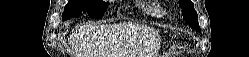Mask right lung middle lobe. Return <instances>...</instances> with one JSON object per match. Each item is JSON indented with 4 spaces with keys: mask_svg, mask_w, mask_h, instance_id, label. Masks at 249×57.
<instances>
[{
    "mask_svg": "<svg viewBox=\"0 0 249 57\" xmlns=\"http://www.w3.org/2000/svg\"><path fill=\"white\" fill-rule=\"evenodd\" d=\"M107 4L96 0H69L64 8L63 19L77 17L82 13L88 14L91 18L100 19L104 16Z\"/></svg>",
    "mask_w": 249,
    "mask_h": 57,
    "instance_id": "obj_1",
    "label": "right lung middle lobe"
}]
</instances>
